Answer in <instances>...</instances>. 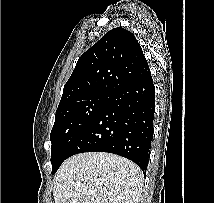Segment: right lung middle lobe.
Listing matches in <instances>:
<instances>
[{
  "label": "right lung middle lobe",
  "mask_w": 214,
  "mask_h": 203,
  "mask_svg": "<svg viewBox=\"0 0 214 203\" xmlns=\"http://www.w3.org/2000/svg\"><path fill=\"white\" fill-rule=\"evenodd\" d=\"M109 97L106 93H92L58 106L50 134L52 174L68 158L74 143L88 129Z\"/></svg>",
  "instance_id": "obj_1"
}]
</instances>
